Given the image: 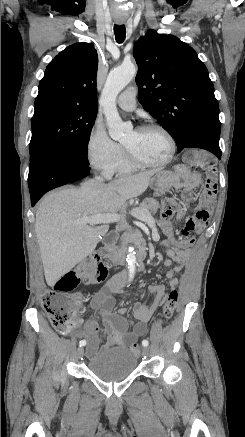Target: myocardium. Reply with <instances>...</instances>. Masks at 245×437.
I'll use <instances>...</instances> for the list:
<instances>
[{
	"label": "myocardium",
	"instance_id": "1",
	"mask_svg": "<svg viewBox=\"0 0 245 437\" xmlns=\"http://www.w3.org/2000/svg\"><path fill=\"white\" fill-rule=\"evenodd\" d=\"M137 131H143V130H158L160 131L168 140L169 143V153L167 157L161 161L151 162V161H145L137 156H135L125 145H123L124 154L126 158L133 163L134 165L138 167H163L167 164H169L175 157L176 150H177V144L174 136L171 134V132L164 126L156 123H147L144 125L139 126Z\"/></svg>",
	"mask_w": 245,
	"mask_h": 437
}]
</instances>
